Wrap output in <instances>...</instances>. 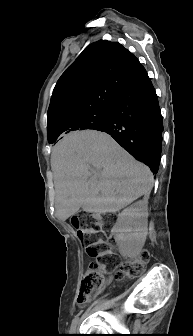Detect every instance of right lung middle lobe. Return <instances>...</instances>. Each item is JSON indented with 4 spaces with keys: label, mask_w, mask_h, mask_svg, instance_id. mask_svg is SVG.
I'll return each instance as SVG.
<instances>
[{
    "label": "right lung middle lobe",
    "mask_w": 193,
    "mask_h": 336,
    "mask_svg": "<svg viewBox=\"0 0 193 336\" xmlns=\"http://www.w3.org/2000/svg\"><path fill=\"white\" fill-rule=\"evenodd\" d=\"M109 109L110 108L94 110L87 114L79 116L75 121L74 130L101 129L106 123Z\"/></svg>",
    "instance_id": "1"
}]
</instances>
